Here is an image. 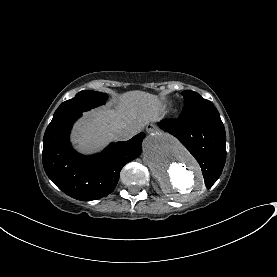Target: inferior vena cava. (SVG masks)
<instances>
[{
    "label": "inferior vena cava",
    "mask_w": 277,
    "mask_h": 277,
    "mask_svg": "<svg viewBox=\"0 0 277 277\" xmlns=\"http://www.w3.org/2000/svg\"><path fill=\"white\" fill-rule=\"evenodd\" d=\"M137 133H138V129L127 126V127L116 130L113 133V139L115 141H126V140L131 139Z\"/></svg>",
    "instance_id": "obj_1"
}]
</instances>
